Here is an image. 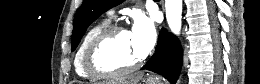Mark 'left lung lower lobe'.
<instances>
[{
  "mask_svg": "<svg viewBox=\"0 0 260 84\" xmlns=\"http://www.w3.org/2000/svg\"><path fill=\"white\" fill-rule=\"evenodd\" d=\"M182 65V49L179 40L162 29L158 37L155 53L142 69L163 75L170 83H175Z\"/></svg>",
  "mask_w": 260,
  "mask_h": 84,
  "instance_id": "1",
  "label": "left lung lower lobe"
}]
</instances>
